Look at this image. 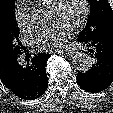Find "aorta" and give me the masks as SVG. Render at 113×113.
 I'll list each match as a JSON object with an SVG mask.
<instances>
[{
    "label": "aorta",
    "mask_w": 113,
    "mask_h": 113,
    "mask_svg": "<svg viewBox=\"0 0 113 113\" xmlns=\"http://www.w3.org/2000/svg\"><path fill=\"white\" fill-rule=\"evenodd\" d=\"M34 16L40 22H45L49 19L48 12L43 9L35 10ZM72 64L75 70L85 73L90 70L93 64V58L89 54L79 52L73 56Z\"/></svg>",
    "instance_id": "1"
}]
</instances>
